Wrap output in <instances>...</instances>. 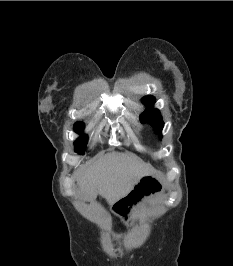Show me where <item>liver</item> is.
I'll return each mask as SVG.
<instances>
[{"mask_svg": "<svg viewBox=\"0 0 233 266\" xmlns=\"http://www.w3.org/2000/svg\"><path fill=\"white\" fill-rule=\"evenodd\" d=\"M148 174L147 167L137 158L112 152L79 172V196L93 201L99 194L112 205L126 197L140 178Z\"/></svg>", "mask_w": 233, "mask_h": 266, "instance_id": "1", "label": "liver"}]
</instances>
